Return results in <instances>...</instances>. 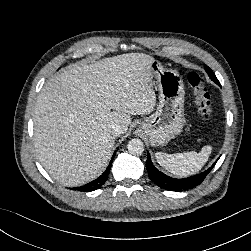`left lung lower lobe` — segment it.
Listing matches in <instances>:
<instances>
[{
  "label": "left lung lower lobe",
  "instance_id": "0a47b994",
  "mask_svg": "<svg viewBox=\"0 0 251 251\" xmlns=\"http://www.w3.org/2000/svg\"><path fill=\"white\" fill-rule=\"evenodd\" d=\"M217 83L218 85L220 84L219 82ZM216 162L210 168H208L206 171L200 174H197L188 178L175 179L160 172L153 165L150 154L148 153L147 161H146V168H147L150 180L153 181L160 188H163L169 191H185V190H189L200 185L205 179V177L208 175V173L212 170Z\"/></svg>",
  "mask_w": 251,
  "mask_h": 251
}]
</instances>
